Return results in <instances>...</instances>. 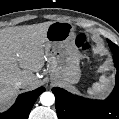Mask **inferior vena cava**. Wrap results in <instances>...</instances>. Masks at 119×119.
Wrapping results in <instances>:
<instances>
[{
  "mask_svg": "<svg viewBox=\"0 0 119 119\" xmlns=\"http://www.w3.org/2000/svg\"><path fill=\"white\" fill-rule=\"evenodd\" d=\"M28 82V79L26 78H21L19 80H17L14 84L15 87H22L24 86L26 83Z\"/></svg>",
  "mask_w": 119,
  "mask_h": 119,
  "instance_id": "1",
  "label": "inferior vena cava"
}]
</instances>
